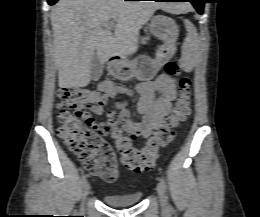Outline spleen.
<instances>
[{"label":"spleen","mask_w":260,"mask_h":217,"mask_svg":"<svg viewBox=\"0 0 260 217\" xmlns=\"http://www.w3.org/2000/svg\"><path fill=\"white\" fill-rule=\"evenodd\" d=\"M184 24L187 37L182 45V56L184 59H190L194 55L198 44V34L195 26L189 20H184Z\"/></svg>","instance_id":"1"}]
</instances>
